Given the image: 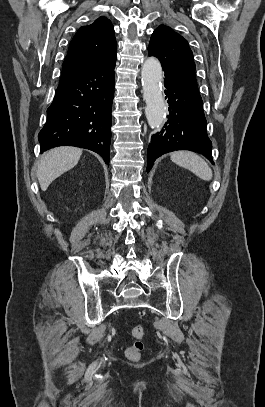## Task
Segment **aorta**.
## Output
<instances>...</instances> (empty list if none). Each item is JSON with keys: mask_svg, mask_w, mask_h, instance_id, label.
I'll return each instance as SVG.
<instances>
[{"mask_svg": "<svg viewBox=\"0 0 265 407\" xmlns=\"http://www.w3.org/2000/svg\"><path fill=\"white\" fill-rule=\"evenodd\" d=\"M162 67L155 57L146 59L142 66L141 78L143 99L146 103L145 114L151 128H159L163 123L167 107L162 95Z\"/></svg>", "mask_w": 265, "mask_h": 407, "instance_id": "obj_1", "label": "aorta"}]
</instances>
